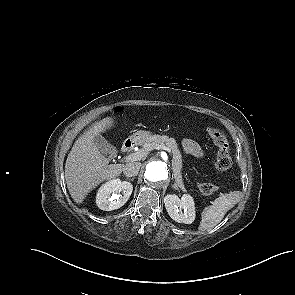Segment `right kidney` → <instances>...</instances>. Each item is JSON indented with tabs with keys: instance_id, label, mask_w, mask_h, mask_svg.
I'll return each instance as SVG.
<instances>
[{
	"instance_id": "right-kidney-1",
	"label": "right kidney",
	"mask_w": 295,
	"mask_h": 295,
	"mask_svg": "<svg viewBox=\"0 0 295 295\" xmlns=\"http://www.w3.org/2000/svg\"><path fill=\"white\" fill-rule=\"evenodd\" d=\"M132 191L131 183L119 179L110 180L99 188L96 197L97 206L104 211L118 209L128 201Z\"/></svg>"
}]
</instances>
